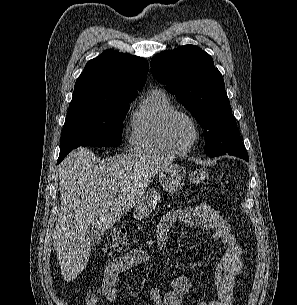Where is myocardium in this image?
Here are the masks:
<instances>
[{
  "label": "myocardium",
  "instance_id": "f54148a6",
  "mask_svg": "<svg viewBox=\"0 0 297 305\" xmlns=\"http://www.w3.org/2000/svg\"><path fill=\"white\" fill-rule=\"evenodd\" d=\"M177 116H183V117L187 118L190 121V123L192 124L193 129H194V138H193L192 142L188 146H185V147L177 146L173 142L171 135H170L171 122ZM161 133H162L164 141L171 148V150H173V152L179 153V154H184V153L190 152L196 146V144L200 138V127H199V124L196 121V119L191 114H189L186 111L175 109V110L169 112L164 117L162 124H161Z\"/></svg>",
  "mask_w": 297,
  "mask_h": 305
}]
</instances>
